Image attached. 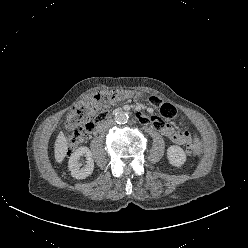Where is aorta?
<instances>
[{
	"label": "aorta",
	"instance_id": "762f6f07",
	"mask_svg": "<svg viewBox=\"0 0 248 248\" xmlns=\"http://www.w3.org/2000/svg\"><path fill=\"white\" fill-rule=\"evenodd\" d=\"M114 119L118 124H125L128 121V114L124 111L117 112Z\"/></svg>",
	"mask_w": 248,
	"mask_h": 248
}]
</instances>
